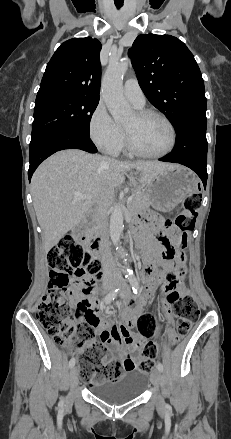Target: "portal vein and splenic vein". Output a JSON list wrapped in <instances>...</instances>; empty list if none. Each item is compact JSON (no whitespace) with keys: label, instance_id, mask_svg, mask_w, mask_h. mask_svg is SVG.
Wrapping results in <instances>:
<instances>
[{"label":"portal vein and splenic vein","instance_id":"1","mask_svg":"<svg viewBox=\"0 0 231 439\" xmlns=\"http://www.w3.org/2000/svg\"><path fill=\"white\" fill-rule=\"evenodd\" d=\"M91 198L92 197L90 195H88V194H79V193L75 194V199H78V200H80V199H82V200H90ZM132 199H133V196H130L129 199H128V204H130Z\"/></svg>","mask_w":231,"mask_h":439}]
</instances>
